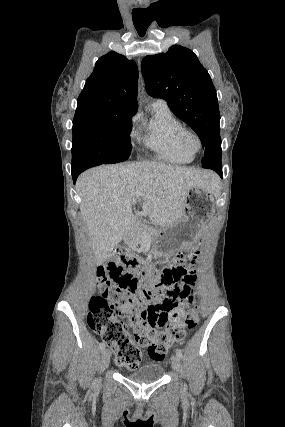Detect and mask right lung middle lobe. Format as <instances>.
Returning <instances> with one entry per match:
<instances>
[{
	"instance_id": "right-lung-middle-lobe-1",
	"label": "right lung middle lobe",
	"mask_w": 285,
	"mask_h": 427,
	"mask_svg": "<svg viewBox=\"0 0 285 427\" xmlns=\"http://www.w3.org/2000/svg\"><path fill=\"white\" fill-rule=\"evenodd\" d=\"M132 117H113L73 122L72 171L118 163L131 153Z\"/></svg>"
}]
</instances>
